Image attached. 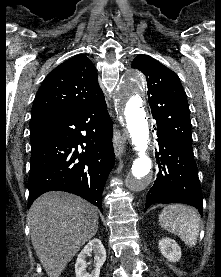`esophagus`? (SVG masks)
Listing matches in <instances>:
<instances>
[{
  "instance_id": "obj_1",
  "label": "esophagus",
  "mask_w": 221,
  "mask_h": 277,
  "mask_svg": "<svg viewBox=\"0 0 221 277\" xmlns=\"http://www.w3.org/2000/svg\"><path fill=\"white\" fill-rule=\"evenodd\" d=\"M127 137L118 130V128L114 127L113 133V141H114V149L116 157H121L125 152Z\"/></svg>"
}]
</instances>
